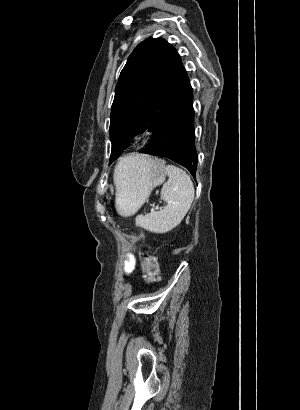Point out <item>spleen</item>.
<instances>
[{
    "label": "spleen",
    "instance_id": "3e777b00",
    "mask_svg": "<svg viewBox=\"0 0 300 410\" xmlns=\"http://www.w3.org/2000/svg\"><path fill=\"white\" fill-rule=\"evenodd\" d=\"M132 167L128 157L119 161L114 171V181L119 186L120 173ZM168 181L161 189V199L166 206L160 211H151L146 215H138L136 225L154 233H166L181 223L194 200V186L189 175L179 167L167 165Z\"/></svg>",
    "mask_w": 300,
    "mask_h": 410
}]
</instances>
